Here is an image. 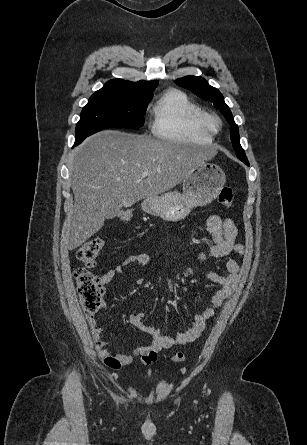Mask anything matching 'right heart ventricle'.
Instances as JSON below:
<instances>
[{"label": "right heart ventricle", "instance_id": "1", "mask_svg": "<svg viewBox=\"0 0 307 445\" xmlns=\"http://www.w3.org/2000/svg\"><path fill=\"white\" fill-rule=\"evenodd\" d=\"M152 133L162 139L208 140L212 134L205 112L183 93L169 90L155 102Z\"/></svg>", "mask_w": 307, "mask_h": 445}]
</instances>
